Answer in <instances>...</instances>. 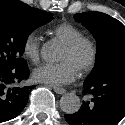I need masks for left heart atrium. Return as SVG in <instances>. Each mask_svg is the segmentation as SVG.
I'll return each instance as SVG.
<instances>
[{
	"mask_svg": "<svg viewBox=\"0 0 125 125\" xmlns=\"http://www.w3.org/2000/svg\"><path fill=\"white\" fill-rule=\"evenodd\" d=\"M78 74V70L68 61L63 60L59 63H45L36 68L33 72V78L37 82L62 86L73 82Z\"/></svg>",
	"mask_w": 125,
	"mask_h": 125,
	"instance_id": "left-heart-atrium-1",
	"label": "left heart atrium"
}]
</instances>
